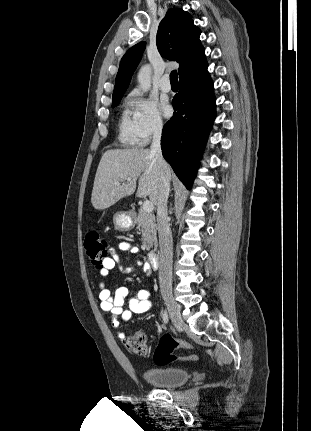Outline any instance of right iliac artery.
I'll list each match as a JSON object with an SVG mask.
<instances>
[{
    "label": "right iliac artery",
    "instance_id": "82829eb1",
    "mask_svg": "<svg viewBox=\"0 0 311 431\" xmlns=\"http://www.w3.org/2000/svg\"><path fill=\"white\" fill-rule=\"evenodd\" d=\"M162 318H163L164 323L167 324L169 321V317H168V312L166 310L163 312Z\"/></svg>",
    "mask_w": 311,
    "mask_h": 431
}]
</instances>
